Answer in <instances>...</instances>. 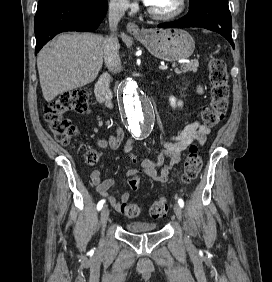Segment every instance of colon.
I'll return each mask as SVG.
<instances>
[{"instance_id": "5ec220e1", "label": "colon", "mask_w": 272, "mask_h": 282, "mask_svg": "<svg viewBox=\"0 0 272 282\" xmlns=\"http://www.w3.org/2000/svg\"><path fill=\"white\" fill-rule=\"evenodd\" d=\"M211 101L208 106L202 109V121L206 126H215L224 117L229 107L230 88L228 84V73L225 63L218 58H212L208 63ZM69 112L86 114L89 112L88 93L79 91L75 94H64L53 100L45 110V121L55 140L67 145L76 135L75 124L64 115ZM85 161L93 165L98 161V152L90 150L86 153ZM201 158L198 155L197 147L192 146L183 163L182 182L188 184L193 181L200 169ZM130 187L140 186V179L136 175L129 177ZM168 203L165 199H158L150 206V213L155 218H162L166 215ZM120 212L127 217H136L142 213L138 204L125 203L121 206Z\"/></svg>"}]
</instances>
